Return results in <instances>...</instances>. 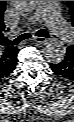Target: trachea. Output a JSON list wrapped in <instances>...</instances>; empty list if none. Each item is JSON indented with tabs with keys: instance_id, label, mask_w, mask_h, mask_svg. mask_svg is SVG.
<instances>
[{
	"instance_id": "trachea-1",
	"label": "trachea",
	"mask_w": 74,
	"mask_h": 122,
	"mask_svg": "<svg viewBox=\"0 0 74 122\" xmlns=\"http://www.w3.org/2000/svg\"><path fill=\"white\" fill-rule=\"evenodd\" d=\"M36 35L38 37H45V38L49 37V33L44 29L38 30L36 32ZM30 37H31L30 33H24V34L20 35L19 37H17L16 39L12 40V41L5 40V44H6V46H14V45H17L20 42L26 40V39H29Z\"/></svg>"
}]
</instances>
